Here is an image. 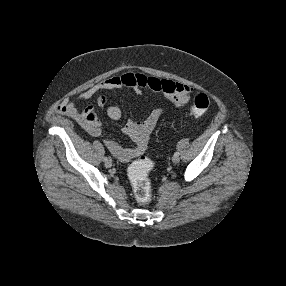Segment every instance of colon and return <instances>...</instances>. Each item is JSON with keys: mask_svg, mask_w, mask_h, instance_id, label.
<instances>
[{"mask_svg": "<svg viewBox=\"0 0 286 286\" xmlns=\"http://www.w3.org/2000/svg\"><path fill=\"white\" fill-rule=\"evenodd\" d=\"M209 98L206 94H198L190 108V114L193 117L202 116L209 108ZM153 163L148 158L142 157L135 161L128 170L129 179L134 188V194L137 202L146 205L151 201L152 190L149 180V171Z\"/></svg>", "mask_w": 286, "mask_h": 286, "instance_id": "1", "label": "colon"}]
</instances>
